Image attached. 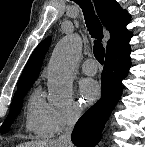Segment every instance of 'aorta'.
Returning <instances> with one entry per match:
<instances>
[{
  "label": "aorta",
  "instance_id": "aorta-1",
  "mask_svg": "<svg viewBox=\"0 0 145 147\" xmlns=\"http://www.w3.org/2000/svg\"><path fill=\"white\" fill-rule=\"evenodd\" d=\"M82 41L78 34L64 37L56 45L48 68L50 100L55 104L66 102L72 92L73 71L80 59Z\"/></svg>",
  "mask_w": 145,
  "mask_h": 147
}]
</instances>
